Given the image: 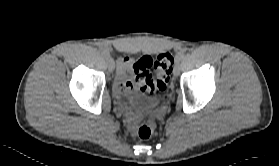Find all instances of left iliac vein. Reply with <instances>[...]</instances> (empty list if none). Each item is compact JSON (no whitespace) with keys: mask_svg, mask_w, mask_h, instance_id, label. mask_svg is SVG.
<instances>
[{"mask_svg":"<svg viewBox=\"0 0 279 166\" xmlns=\"http://www.w3.org/2000/svg\"><path fill=\"white\" fill-rule=\"evenodd\" d=\"M179 72H180V65H179V62H176L174 69H173V75L178 76Z\"/></svg>","mask_w":279,"mask_h":166,"instance_id":"4c4485c4","label":"left iliac vein"}]
</instances>
